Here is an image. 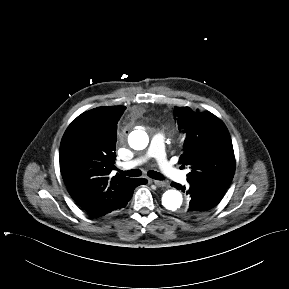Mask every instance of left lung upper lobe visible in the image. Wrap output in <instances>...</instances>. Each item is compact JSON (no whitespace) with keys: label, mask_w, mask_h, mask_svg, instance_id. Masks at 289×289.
<instances>
[{"label":"left lung upper lobe","mask_w":289,"mask_h":289,"mask_svg":"<svg viewBox=\"0 0 289 289\" xmlns=\"http://www.w3.org/2000/svg\"><path fill=\"white\" fill-rule=\"evenodd\" d=\"M178 128L186 134L179 163L189 165L190 184L205 185L225 192L235 172L230 134L224 123L210 112L174 107Z\"/></svg>","instance_id":"left-lung-upper-lobe-1"}]
</instances>
